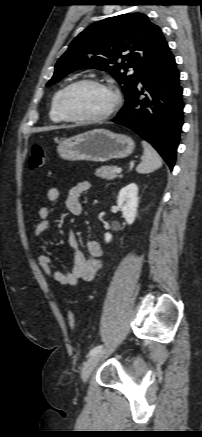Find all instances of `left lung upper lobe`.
<instances>
[{"mask_svg": "<svg viewBox=\"0 0 202 437\" xmlns=\"http://www.w3.org/2000/svg\"><path fill=\"white\" fill-rule=\"evenodd\" d=\"M168 48L161 29L141 13L101 20L82 31L55 65L52 85L80 68L109 71L127 100L144 73ZM119 59L122 62L119 63ZM134 70L128 74V69Z\"/></svg>", "mask_w": 202, "mask_h": 437, "instance_id": "1", "label": "left lung upper lobe"}]
</instances>
